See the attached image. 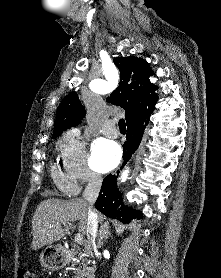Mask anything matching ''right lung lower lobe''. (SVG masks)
<instances>
[{"instance_id":"1","label":"right lung lower lobe","mask_w":221,"mask_h":278,"mask_svg":"<svg viewBox=\"0 0 221 278\" xmlns=\"http://www.w3.org/2000/svg\"><path fill=\"white\" fill-rule=\"evenodd\" d=\"M148 122L149 117L136 120L127 125V141L123 145V165L127 163L132 154L137 150ZM116 178L117 176L115 175H108L104 178L101 191L96 201V208L104 215L123 223H128L132 219H142L143 215L140 211L132 210L122 203V196L117 188Z\"/></svg>"}]
</instances>
